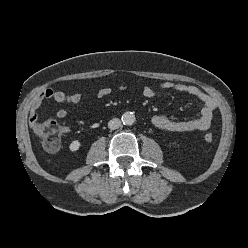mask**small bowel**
I'll list each match as a JSON object with an SVG mask.
<instances>
[{
  "mask_svg": "<svg viewBox=\"0 0 248 248\" xmlns=\"http://www.w3.org/2000/svg\"><path fill=\"white\" fill-rule=\"evenodd\" d=\"M158 89L171 90L191 95L202 104V109L199 117L185 121L173 120L165 115H153L151 117V122L156 128L168 133L206 131L210 128L213 113L216 109V103L207 93L196 86L188 85L182 82H163L158 86H145L143 89V95L146 98H154L157 95ZM110 94L111 88L103 87L97 92L96 99L102 100ZM81 99L82 94L79 92L68 94L63 91L53 90L50 88L45 89L32 101L30 105V125L34 127L37 123L38 111L45 100H53L59 104L70 105L79 103ZM67 114L68 112L65 108H59L56 111V116L59 119L65 118ZM64 131H68V128H64Z\"/></svg>",
  "mask_w": 248,
  "mask_h": 248,
  "instance_id": "1",
  "label": "small bowel"
}]
</instances>
